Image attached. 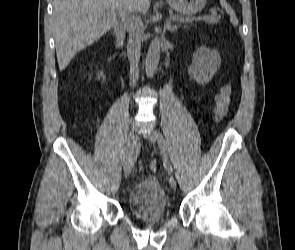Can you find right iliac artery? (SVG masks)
Masks as SVG:
<instances>
[{
	"label": "right iliac artery",
	"instance_id": "1",
	"mask_svg": "<svg viewBox=\"0 0 295 250\" xmlns=\"http://www.w3.org/2000/svg\"><path fill=\"white\" fill-rule=\"evenodd\" d=\"M133 155H131L124 163H128L129 167H131V169L133 168L134 166V163L136 161V158H137V155L136 154H140L141 153V150L139 147H134L133 148Z\"/></svg>",
	"mask_w": 295,
	"mask_h": 250
}]
</instances>
